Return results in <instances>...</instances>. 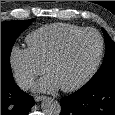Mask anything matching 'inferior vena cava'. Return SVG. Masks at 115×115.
I'll return each mask as SVG.
<instances>
[{"mask_svg": "<svg viewBox=\"0 0 115 115\" xmlns=\"http://www.w3.org/2000/svg\"><path fill=\"white\" fill-rule=\"evenodd\" d=\"M16 83L22 90H28L33 85V79L29 76H18Z\"/></svg>", "mask_w": 115, "mask_h": 115, "instance_id": "inferior-vena-cava-1", "label": "inferior vena cava"}]
</instances>
